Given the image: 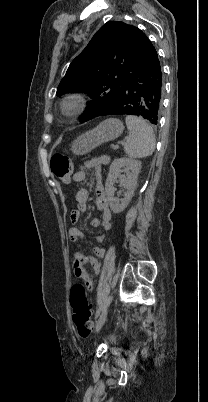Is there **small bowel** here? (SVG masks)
<instances>
[{
  "instance_id": "obj_1",
  "label": "small bowel",
  "mask_w": 208,
  "mask_h": 402,
  "mask_svg": "<svg viewBox=\"0 0 208 402\" xmlns=\"http://www.w3.org/2000/svg\"><path fill=\"white\" fill-rule=\"evenodd\" d=\"M109 163V158L106 156L93 157L85 161L73 174V180L78 183H82L87 179L88 170L95 171V191L97 194L96 205L101 212V219H93L91 226L97 228L101 226L105 231H109L112 228V213L109 209L106 198L105 188L101 175V166ZM88 189L81 188L75 193V201L77 208L71 212L70 220L76 224L80 215L87 210ZM84 237V233L77 227H72L69 231V238L72 242H77ZM104 235L99 237V241H102ZM96 257H87L80 248L76 247L73 251V264L75 268V274L83 279L89 287L93 286L94 276L100 272L101 264L97 258H102L105 255V250L102 247H96L94 249ZM89 263L92 267V274L85 269V265Z\"/></svg>"
}]
</instances>
